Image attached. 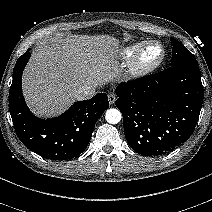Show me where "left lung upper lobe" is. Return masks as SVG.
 Listing matches in <instances>:
<instances>
[{"mask_svg": "<svg viewBox=\"0 0 212 212\" xmlns=\"http://www.w3.org/2000/svg\"><path fill=\"white\" fill-rule=\"evenodd\" d=\"M170 40L173 46L171 58L172 66L197 63V60L192 55V53L187 50L179 41L175 40L172 37L170 38Z\"/></svg>", "mask_w": 212, "mask_h": 212, "instance_id": "5c2ea615", "label": "left lung upper lobe"}]
</instances>
